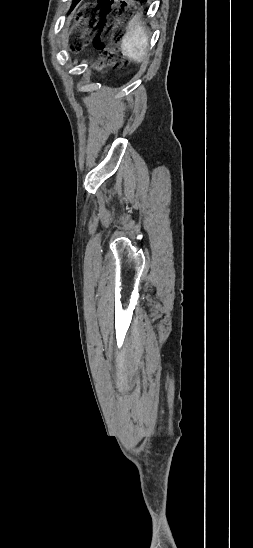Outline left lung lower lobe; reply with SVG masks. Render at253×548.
I'll list each match as a JSON object with an SVG mask.
<instances>
[{
  "label": "left lung lower lobe",
  "instance_id": "0a47b994",
  "mask_svg": "<svg viewBox=\"0 0 253 548\" xmlns=\"http://www.w3.org/2000/svg\"><path fill=\"white\" fill-rule=\"evenodd\" d=\"M80 0H74L73 1V5H72V8L79 2ZM142 1H146V0H142Z\"/></svg>",
  "mask_w": 253,
  "mask_h": 548
}]
</instances>
